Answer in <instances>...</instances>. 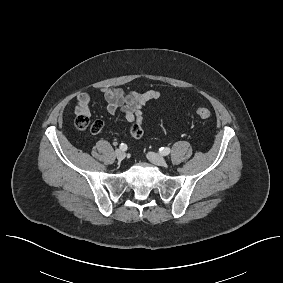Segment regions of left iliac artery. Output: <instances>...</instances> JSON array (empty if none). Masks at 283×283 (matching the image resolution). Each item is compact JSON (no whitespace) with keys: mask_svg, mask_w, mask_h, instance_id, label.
Returning <instances> with one entry per match:
<instances>
[{"mask_svg":"<svg viewBox=\"0 0 283 283\" xmlns=\"http://www.w3.org/2000/svg\"><path fill=\"white\" fill-rule=\"evenodd\" d=\"M159 152H160L161 155L166 156V155H168L170 153V148L162 147V148L159 149Z\"/></svg>","mask_w":283,"mask_h":283,"instance_id":"44dca946","label":"left iliac artery"}]
</instances>
